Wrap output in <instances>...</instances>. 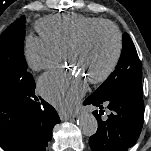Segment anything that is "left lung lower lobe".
Returning <instances> with one entry per match:
<instances>
[{"mask_svg": "<svg viewBox=\"0 0 151 151\" xmlns=\"http://www.w3.org/2000/svg\"><path fill=\"white\" fill-rule=\"evenodd\" d=\"M85 105L100 109L93 114L98 121L97 132L90 137L92 151H127L132 147L142 130L144 101L141 80H132L106 98L89 96ZM104 106L111 111L108 119H101Z\"/></svg>", "mask_w": 151, "mask_h": 151, "instance_id": "0a47b994", "label": "left lung lower lobe"}]
</instances>
